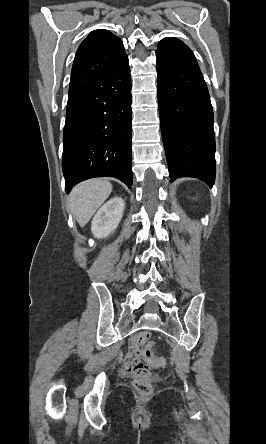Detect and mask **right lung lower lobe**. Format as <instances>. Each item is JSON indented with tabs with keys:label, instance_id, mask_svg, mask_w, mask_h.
Here are the masks:
<instances>
[{
	"label": "right lung lower lobe",
	"instance_id": "1",
	"mask_svg": "<svg viewBox=\"0 0 266 444\" xmlns=\"http://www.w3.org/2000/svg\"><path fill=\"white\" fill-rule=\"evenodd\" d=\"M131 77L127 56L83 91L68 97L62 168L67 193L86 179L132 178Z\"/></svg>",
	"mask_w": 266,
	"mask_h": 444
}]
</instances>
